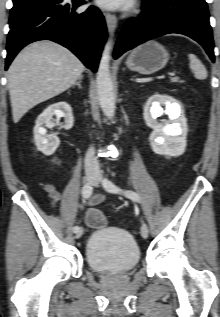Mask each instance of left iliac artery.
I'll return each mask as SVG.
<instances>
[{"label": "left iliac artery", "instance_id": "44dca946", "mask_svg": "<svg viewBox=\"0 0 220 317\" xmlns=\"http://www.w3.org/2000/svg\"><path fill=\"white\" fill-rule=\"evenodd\" d=\"M103 186L104 188L111 193H123L126 197L130 198L132 201L134 202H140V196L134 192V191H130V190H122L120 189L118 186H116L112 181L108 180V179H104L103 180Z\"/></svg>", "mask_w": 220, "mask_h": 317}]
</instances>
